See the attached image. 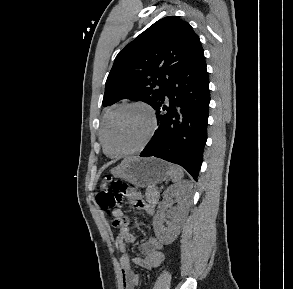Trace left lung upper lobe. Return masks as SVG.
<instances>
[{
    "label": "left lung upper lobe",
    "instance_id": "5c2ea615",
    "mask_svg": "<svg viewBox=\"0 0 293 289\" xmlns=\"http://www.w3.org/2000/svg\"><path fill=\"white\" fill-rule=\"evenodd\" d=\"M203 51L189 23L164 17L117 55L105 84L103 106L129 98L152 107L166 86Z\"/></svg>",
    "mask_w": 293,
    "mask_h": 289
}]
</instances>
